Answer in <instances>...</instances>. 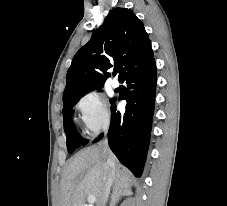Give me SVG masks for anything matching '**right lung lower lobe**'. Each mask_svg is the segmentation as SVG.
<instances>
[{"label":"right lung lower lobe","instance_id":"1","mask_svg":"<svg viewBox=\"0 0 227 206\" xmlns=\"http://www.w3.org/2000/svg\"><path fill=\"white\" fill-rule=\"evenodd\" d=\"M127 84L122 99L127 101L126 112L116 110L111 100L109 146L119 161L140 177L149 145L156 92L154 58L129 69L120 79ZM103 135L94 142L99 141Z\"/></svg>","mask_w":227,"mask_h":206}]
</instances>
